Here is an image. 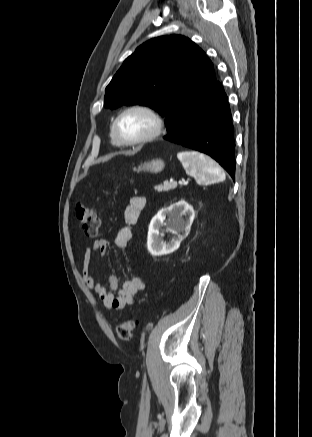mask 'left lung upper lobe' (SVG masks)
Segmentation results:
<instances>
[{
  "mask_svg": "<svg viewBox=\"0 0 312 437\" xmlns=\"http://www.w3.org/2000/svg\"><path fill=\"white\" fill-rule=\"evenodd\" d=\"M216 83L212 62L180 35L151 39L131 54L106 87L104 107L144 105L165 117L168 135Z\"/></svg>",
  "mask_w": 312,
  "mask_h": 437,
  "instance_id": "obj_1",
  "label": "left lung upper lobe"
}]
</instances>
